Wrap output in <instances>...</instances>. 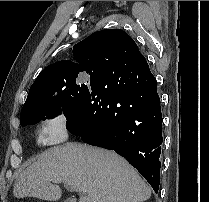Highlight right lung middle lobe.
Wrapping results in <instances>:
<instances>
[{
  "instance_id": "right-lung-middle-lobe-1",
  "label": "right lung middle lobe",
  "mask_w": 209,
  "mask_h": 202,
  "mask_svg": "<svg viewBox=\"0 0 209 202\" xmlns=\"http://www.w3.org/2000/svg\"><path fill=\"white\" fill-rule=\"evenodd\" d=\"M76 75H66L50 78L43 87L34 95L40 101L39 104H31V107L21 113V119L26 125H33L41 120L52 119L61 114L60 106L67 120L77 116L86 98L91 94L97 79L90 77V83L81 84L76 82ZM59 91L57 98L52 95Z\"/></svg>"
}]
</instances>
